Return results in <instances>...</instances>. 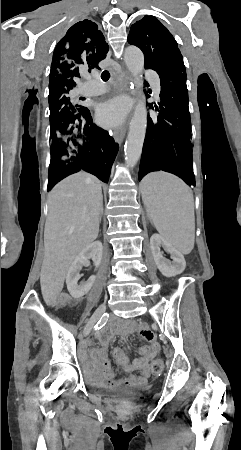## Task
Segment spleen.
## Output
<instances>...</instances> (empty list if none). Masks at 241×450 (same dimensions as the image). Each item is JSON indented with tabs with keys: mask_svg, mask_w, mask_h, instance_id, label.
<instances>
[{
	"mask_svg": "<svg viewBox=\"0 0 241 450\" xmlns=\"http://www.w3.org/2000/svg\"><path fill=\"white\" fill-rule=\"evenodd\" d=\"M143 204L159 234L180 254H190L195 242L193 194L180 178L152 172L140 184Z\"/></svg>",
	"mask_w": 241,
	"mask_h": 450,
	"instance_id": "1",
	"label": "spleen"
}]
</instances>
